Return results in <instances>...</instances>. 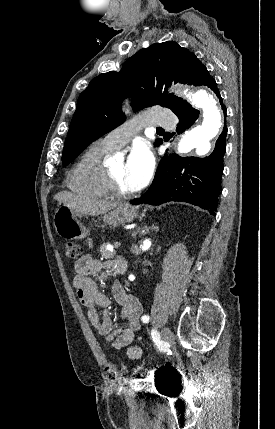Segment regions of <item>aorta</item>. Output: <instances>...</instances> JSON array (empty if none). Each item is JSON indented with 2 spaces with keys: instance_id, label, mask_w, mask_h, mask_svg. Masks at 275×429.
<instances>
[{
  "instance_id": "obj_1",
  "label": "aorta",
  "mask_w": 275,
  "mask_h": 429,
  "mask_svg": "<svg viewBox=\"0 0 275 429\" xmlns=\"http://www.w3.org/2000/svg\"><path fill=\"white\" fill-rule=\"evenodd\" d=\"M190 101L202 109V122L186 131L178 143V151L189 153L196 149L198 154H206L211 147V141L218 135L222 124L224 113L213 94L208 88H200L195 93L188 94ZM151 246L149 239L143 240L142 251H147Z\"/></svg>"
}]
</instances>
